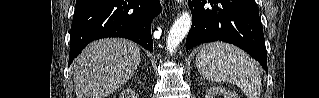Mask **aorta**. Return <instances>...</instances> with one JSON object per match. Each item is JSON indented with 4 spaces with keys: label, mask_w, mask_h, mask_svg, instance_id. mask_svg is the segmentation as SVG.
Instances as JSON below:
<instances>
[{
    "label": "aorta",
    "mask_w": 319,
    "mask_h": 98,
    "mask_svg": "<svg viewBox=\"0 0 319 98\" xmlns=\"http://www.w3.org/2000/svg\"><path fill=\"white\" fill-rule=\"evenodd\" d=\"M191 24L192 18L189 11L183 12L182 15L175 20L173 26L170 29V32L168 33L166 42L167 51L170 54H173V52L188 34Z\"/></svg>",
    "instance_id": "1"
}]
</instances>
